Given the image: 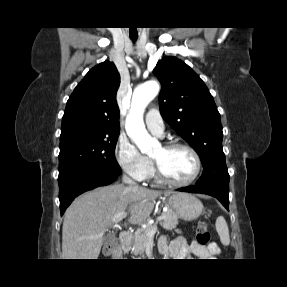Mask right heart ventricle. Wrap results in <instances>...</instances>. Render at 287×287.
<instances>
[{
  "label": "right heart ventricle",
  "mask_w": 287,
  "mask_h": 287,
  "mask_svg": "<svg viewBox=\"0 0 287 287\" xmlns=\"http://www.w3.org/2000/svg\"><path fill=\"white\" fill-rule=\"evenodd\" d=\"M146 179L153 180L156 183H160L161 182L160 179L157 177V174L155 172V169H154V166H153V163H152L151 160H150L149 172H148V175H147Z\"/></svg>",
  "instance_id": "e07e8e85"
}]
</instances>
